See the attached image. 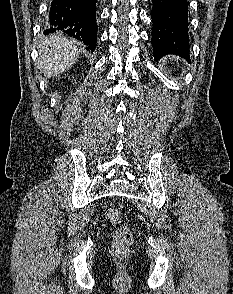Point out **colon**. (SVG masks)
<instances>
[{"mask_svg": "<svg viewBox=\"0 0 233 294\" xmlns=\"http://www.w3.org/2000/svg\"><path fill=\"white\" fill-rule=\"evenodd\" d=\"M108 219L113 224L122 223V214L119 209L112 208L107 213ZM132 242V233L127 226H121L114 233L113 245L117 252L124 253Z\"/></svg>", "mask_w": 233, "mask_h": 294, "instance_id": "1", "label": "colon"}]
</instances>
